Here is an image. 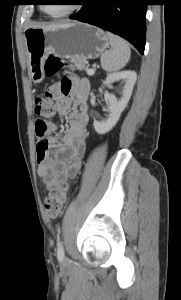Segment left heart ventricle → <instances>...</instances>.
<instances>
[{"mask_svg":"<svg viewBox=\"0 0 181 300\" xmlns=\"http://www.w3.org/2000/svg\"><path fill=\"white\" fill-rule=\"evenodd\" d=\"M50 3H56L60 5H47L45 8L50 14H60L70 8L71 5H68L70 1H59L51 0Z\"/></svg>","mask_w":181,"mask_h":300,"instance_id":"obj_1","label":"left heart ventricle"}]
</instances>
